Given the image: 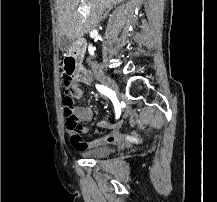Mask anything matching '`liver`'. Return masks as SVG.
Listing matches in <instances>:
<instances>
[{
    "mask_svg": "<svg viewBox=\"0 0 217 202\" xmlns=\"http://www.w3.org/2000/svg\"><path fill=\"white\" fill-rule=\"evenodd\" d=\"M114 2L123 0H57L60 36L81 40L91 28H96L100 16L99 8L104 4L110 6Z\"/></svg>",
    "mask_w": 217,
    "mask_h": 202,
    "instance_id": "1",
    "label": "liver"
}]
</instances>
